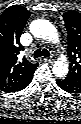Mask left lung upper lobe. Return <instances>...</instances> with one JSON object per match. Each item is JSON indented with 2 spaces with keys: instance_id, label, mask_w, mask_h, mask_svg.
Returning a JSON list of instances; mask_svg holds the SVG:
<instances>
[{
  "instance_id": "left-lung-upper-lobe-1",
  "label": "left lung upper lobe",
  "mask_w": 81,
  "mask_h": 124,
  "mask_svg": "<svg viewBox=\"0 0 81 124\" xmlns=\"http://www.w3.org/2000/svg\"><path fill=\"white\" fill-rule=\"evenodd\" d=\"M63 17L68 31L69 73L66 78L81 85V13L69 11Z\"/></svg>"
}]
</instances>
